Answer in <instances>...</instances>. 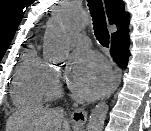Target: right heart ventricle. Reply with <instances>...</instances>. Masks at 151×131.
<instances>
[{"instance_id":"right-heart-ventricle-1","label":"right heart ventricle","mask_w":151,"mask_h":131,"mask_svg":"<svg viewBox=\"0 0 151 131\" xmlns=\"http://www.w3.org/2000/svg\"><path fill=\"white\" fill-rule=\"evenodd\" d=\"M51 79V66L33 47L27 48L14 76L12 86L14 103L19 107L41 105L47 95V85Z\"/></svg>"}]
</instances>
